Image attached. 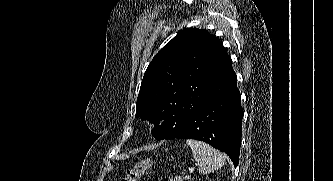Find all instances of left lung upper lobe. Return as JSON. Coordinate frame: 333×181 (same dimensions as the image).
<instances>
[{
  "mask_svg": "<svg viewBox=\"0 0 333 181\" xmlns=\"http://www.w3.org/2000/svg\"><path fill=\"white\" fill-rule=\"evenodd\" d=\"M232 68L218 39L204 30L179 32L153 58L144 74L136 117L155 123L158 139L172 131L168 121L199 109L211 88ZM160 120L163 123L159 126Z\"/></svg>",
  "mask_w": 333,
  "mask_h": 181,
  "instance_id": "left-lung-upper-lobe-1",
  "label": "left lung upper lobe"
}]
</instances>
